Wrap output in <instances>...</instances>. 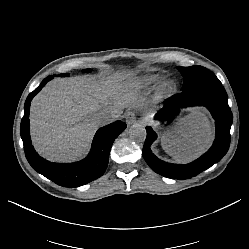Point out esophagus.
<instances>
[{
    "label": "esophagus",
    "instance_id": "obj_1",
    "mask_svg": "<svg viewBox=\"0 0 249 249\" xmlns=\"http://www.w3.org/2000/svg\"><path fill=\"white\" fill-rule=\"evenodd\" d=\"M125 121L127 125H133L136 122V115L133 109H129L125 114Z\"/></svg>",
    "mask_w": 249,
    "mask_h": 249
}]
</instances>
